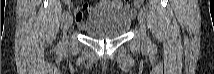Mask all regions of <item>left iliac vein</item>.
I'll return each instance as SVG.
<instances>
[{"label": "left iliac vein", "instance_id": "4c4485c4", "mask_svg": "<svg viewBox=\"0 0 214 74\" xmlns=\"http://www.w3.org/2000/svg\"><path fill=\"white\" fill-rule=\"evenodd\" d=\"M138 22L140 24L143 42L146 43L148 41V37H147V34H146L145 17H144L143 13H139Z\"/></svg>", "mask_w": 214, "mask_h": 74}]
</instances>
